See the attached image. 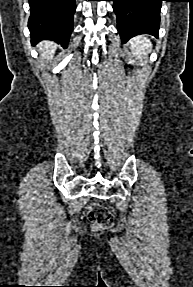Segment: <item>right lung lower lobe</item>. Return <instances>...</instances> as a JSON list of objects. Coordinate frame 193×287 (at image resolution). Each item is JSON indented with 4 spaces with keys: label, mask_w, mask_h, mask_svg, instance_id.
Instances as JSON below:
<instances>
[{
    "label": "right lung lower lobe",
    "mask_w": 193,
    "mask_h": 287,
    "mask_svg": "<svg viewBox=\"0 0 193 287\" xmlns=\"http://www.w3.org/2000/svg\"><path fill=\"white\" fill-rule=\"evenodd\" d=\"M32 44L50 39L67 47L73 29L75 0H29Z\"/></svg>",
    "instance_id": "1"
}]
</instances>
